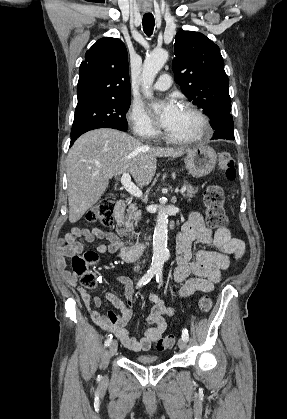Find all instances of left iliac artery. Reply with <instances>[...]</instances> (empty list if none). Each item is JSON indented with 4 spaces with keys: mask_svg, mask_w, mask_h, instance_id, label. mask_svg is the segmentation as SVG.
I'll list each match as a JSON object with an SVG mask.
<instances>
[{
    "mask_svg": "<svg viewBox=\"0 0 287 419\" xmlns=\"http://www.w3.org/2000/svg\"><path fill=\"white\" fill-rule=\"evenodd\" d=\"M156 281L160 285H162L163 280H162V271L161 270H158L156 272ZM182 338L185 339L186 341H188V339H189V334H188V331L186 329H183V331H182Z\"/></svg>",
    "mask_w": 287,
    "mask_h": 419,
    "instance_id": "left-iliac-artery-1",
    "label": "left iliac artery"
}]
</instances>
